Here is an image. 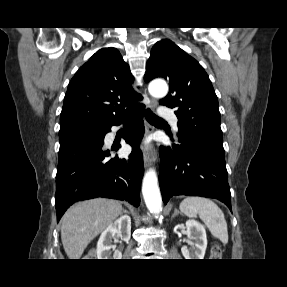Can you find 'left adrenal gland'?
Wrapping results in <instances>:
<instances>
[{"mask_svg": "<svg viewBox=\"0 0 287 287\" xmlns=\"http://www.w3.org/2000/svg\"><path fill=\"white\" fill-rule=\"evenodd\" d=\"M177 214H180V212L177 208H175L172 217L176 216Z\"/></svg>", "mask_w": 287, "mask_h": 287, "instance_id": "a2214340", "label": "left adrenal gland"}]
</instances>
